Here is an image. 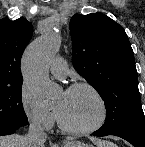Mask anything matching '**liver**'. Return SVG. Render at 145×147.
<instances>
[{
  "instance_id": "6515ba94",
  "label": "liver",
  "mask_w": 145,
  "mask_h": 147,
  "mask_svg": "<svg viewBox=\"0 0 145 147\" xmlns=\"http://www.w3.org/2000/svg\"><path fill=\"white\" fill-rule=\"evenodd\" d=\"M94 144L98 147H107V145H114L110 142H102L96 139H92ZM0 147H26L25 137L14 134L8 136H0ZM116 147V145L112 146Z\"/></svg>"
}]
</instances>
